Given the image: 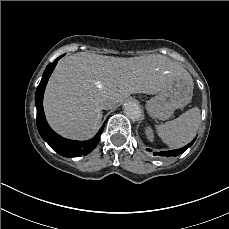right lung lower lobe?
I'll return each mask as SVG.
<instances>
[{
  "instance_id": "98d812e1",
  "label": "right lung lower lobe",
  "mask_w": 229,
  "mask_h": 229,
  "mask_svg": "<svg viewBox=\"0 0 229 229\" xmlns=\"http://www.w3.org/2000/svg\"><path fill=\"white\" fill-rule=\"evenodd\" d=\"M61 57H63V55L58 57L53 63L46 67L41 82L37 87L35 94V104L37 108V128L43 140H45L58 154L64 157H78L81 155L89 154L96 147L107 120L99 132L88 141H75L65 139L51 129L46 121L43 110V95L48 79Z\"/></svg>"
}]
</instances>
